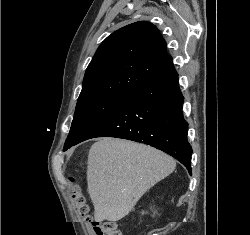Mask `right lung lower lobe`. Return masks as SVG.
<instances>
[{"label": "right lung lower lobe", "mask_w": 250, "mask_h": 235, "mask_svg": "<svg viewBox=\"0 0 250 235\" xmlns=\"http://www.w3.org/2000/svg\"><path fill=\"white\" fill-rule=\"evenodd\" d=\"M183 99L172 63L73 145L95 137L145 143L176 158L191 173L192 148L187 141L188 123L182 114Z\"/></svg>", "instance_id": "98d812e1"}]
</instances>
